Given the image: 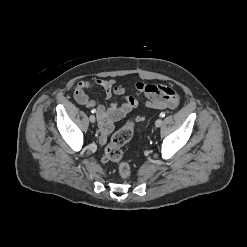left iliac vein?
<instances>
[{
    "label": "left iliac vein",
    "mask_w": 247,
    "mask_h": 247,
    "mask_svg": "<svg viewBox=\"0 0 247 247\" xmlns=\"http://www.w3.org/2000/svg\"><path fill=\"white\" fill-rule=\"evenodd\" d=\"M162 125V120L161 119H157L156 121H155V126L156 127H160Z\"/></svg>",
    "instance_id": "left-iliac-vein-1"
}]
</instances>
